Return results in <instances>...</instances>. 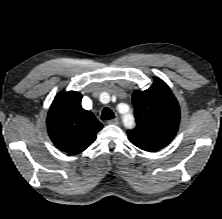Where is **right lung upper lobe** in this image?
<instances>
[{
  "mask_svg": "<svg viewBox=\"0 0 222 219\" xmlns=\"http://www.w3.org/2000/svg\"><path fill=\"white\" fill-rule=\"evenodd\" d=\"M82 95L75 91L56 95L48 116L47 129L54 145L71 155L89 147L102 124L81 106Z\"/></svg>",
  "mask_w": 222,
  "mask_h": 219,
  "instance_id": "right-lung-upper-lobe-1",
  "label": "right lung upper lobe"
}]
</instances>
